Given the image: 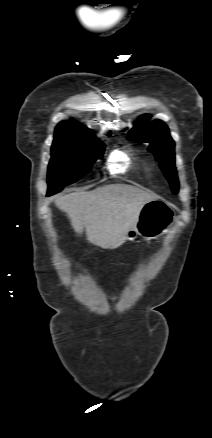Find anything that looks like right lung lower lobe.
Masks as SVG:
<instances>
[{
  "label": "right lung lower lobe",
  "mask_w": 212,
  "mask_h": 438,
  "mask_svg": "<svg viewBox=\"0 0 212 438\" xmlns=\"http://www.w3.org/2000/svg\"><path fill=\"white\" fill-rule=\"evenodd\" d=\"M52 195L51 192L48 191L47 196Z\"/></svg>",
  "instance_id": "98d812e1"
}]
</instances>
